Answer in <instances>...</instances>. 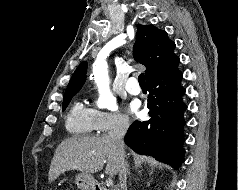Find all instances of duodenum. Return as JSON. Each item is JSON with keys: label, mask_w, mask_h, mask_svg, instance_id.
Segmentation results:
<instances>
[{"label": "duodenum", "mask_w": 238, "mask_h": 190, "mask_svg": "<svg viewBox=\"0 0 238 190\" xmlns=\"http://www.w3.org/2000/svg\"><path fill=\"white\" fill-rule=\"evenodd\" d=\"M95 190H101V187L100 186H96Z\"/></svg>", "instance_id": "duodenum-1"}]
</instances>
